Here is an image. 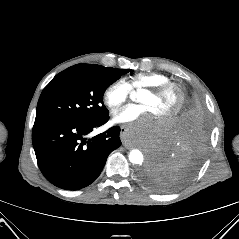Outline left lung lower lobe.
I'll list each match as a JSON object with an SVG mask.
<instances>
[{
    "label": "left lung lower lobe",
    "mask_w": 239,
    "mask_h": 239,
    "mask_svg": "<svg viewBox=\"0 0 239 239\" xmlns=\"http://www.w3.org/2000/svg\"><path fill=\"white\" fill-rule=\"evenodd\" d=\"M207 139L203 104L199 96L190 95L172 128L152 150L144 175L156 177L163 191L187 183L203 160Z\"/></svg>",
    "instance_id": "0a47b994"
}]
</instances>
